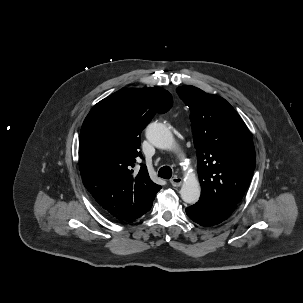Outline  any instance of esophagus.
<instances>
[{"label":"esophagus","mask_w":303,"mask_h":303,"mask_svg":"<svg viewBox=\"0 0 303 303\" xmlns=\"http://www.w3.org/2000/svg\"><path fill=\"white\" fill-rule=\"evenodd\" d=\"M170 183L173 187H179L182 185V178L178 176H174L171 180Z\"/></svg>","instance_id":"1"}]
</instances>
